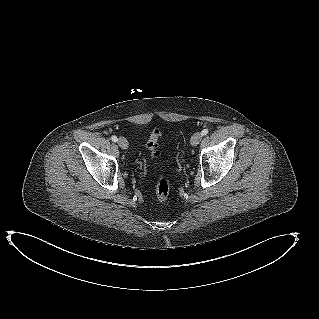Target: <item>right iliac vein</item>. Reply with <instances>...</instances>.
Segmentation results:
<instances>
[{
	"instance_id": "1",
	"label": "right iliac vein",
	"mask_w": 319,
	"mask_h": 319,
	"mask_svg": "<svg viewBox=\"0 0 319 319\" xmlns=\"http://www.w3.org/2000/svg\"><path fill=\"white\" fill-rule=\"evenodd\" d=\"M118 145L122 148V149H127L128 148V141L124 138V137H120L118 139Z\"/></svg>"
}]
</instances>
